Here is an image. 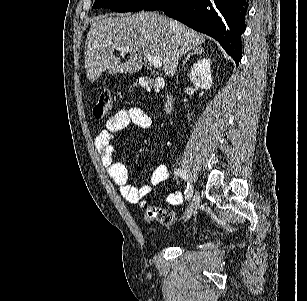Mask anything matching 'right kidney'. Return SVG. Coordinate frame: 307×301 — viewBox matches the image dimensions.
Wrapping results in <instances>:
<instances>
[{
  "label": "right kidney",
  "mask_w": 307,
  "mask_h": 301,
  "mask_svg": "<svg viewBox=\"0 0 307 301\" xmlns=\"http://www.w3.org/2000/svg\"><path fill=\"white\" fill-rule=\"evenodd\" d=\"M188 76L189 80L194 82L195 86H199V88H211L213 76L210 58H201V60H197V62L193 64Z\"/></svg>",
  "instance_id": "ca27d5eb"
}]
</instances>
